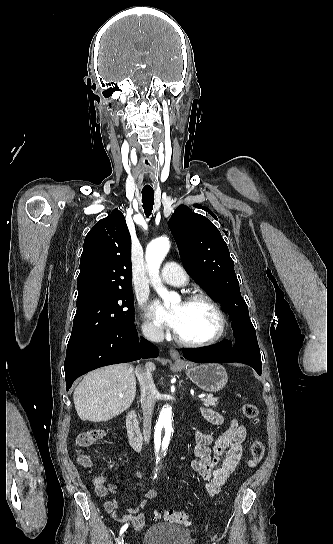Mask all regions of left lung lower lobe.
<instances>
[{
  "label": "left lung lower lobe",
  "instance_id": "left-lung-lower-lobe-1",
  "mask_svg": "<svg viewBox=\"0 0 333 544\" xmlns=\"http://www.w3.org/2000/svg\"><path fill=\"white\" fill-rule=\"evenodd\" d=\"M184 358L193 362H209L217 360L218 362H239L244 363L261 375L262 363L258 344L255 348H238L235 349L227 345L226 341H222L214 346L201 349H184Z\"/></svg>",
  "mask_w": 333,
  "mask_h": 544
}]
</instances>
